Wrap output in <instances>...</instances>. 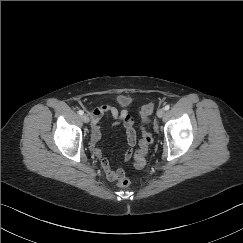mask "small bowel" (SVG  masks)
Instances as JSON below:
<instances>
[{"mask_svg": "<svg viewBox=\"0 0 243 243\" xmlns=\"http://www.w3.org/2000/svg\"><path fill=\"white\" fill-rule=\"evenodd\" d=\"M91 118V136L89 141V148L91 153L100 161V167L105 177L109 181H117L124 176V170L121 167L114 169L110 161L104 155L102 149L98 147V142L102 134L101 120L104 116L113 118L117 122L114 125L121 123L125 129L128 147L124 154V160L128 161L134 151L136 144V131L134 128V118L126 109H118L115 106L103 105L89 111Z\"/></svg>", "mask_w": 243, "mask_h": 243, "instance_id": "1", "label": "small bowel"}]
</instances>
